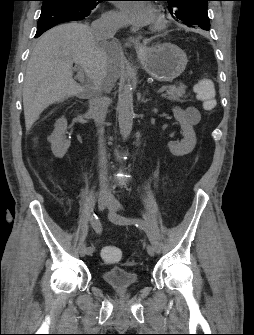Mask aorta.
Wrapping results in <instances>:
<instances>
[{"label": "aorta", "instance_id": "aorta-1", "mask_svg": "<svg viewBox=\"0 0 254 335\" xmlns=\"http://www.w3.org/2000/svg\"><path fill=\"white\" fill-rule=\"evenodd\" d=\"M133 92L134 85L128 78L122 85L118 95V122L120 134L123 139L130 136L133 126Z\"/></svg>", "mask_w": 254, "mask_h": 335}]
</instances>
